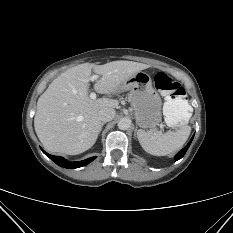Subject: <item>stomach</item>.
I'll use <instances>...</instances> for the list:
<instances>
[{"label":"stomach","mask_w":233,"mask_h":233,"mask_svg":"<svg viewBox=\"0 0 233 233\" xmlns=\"http://www.w3.org/2000/svg\"><path fill=\"white\" fill-rule=\"evenodd\" d=\"M119 89L129 91L128 100L139 127L154 128L161 122V98L154 89L148 73L139 71L133 74Z\"/></svg>","instance_id":"0dacf381"}]
</instances>
